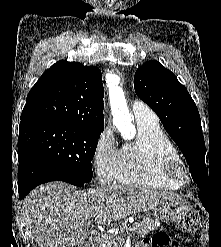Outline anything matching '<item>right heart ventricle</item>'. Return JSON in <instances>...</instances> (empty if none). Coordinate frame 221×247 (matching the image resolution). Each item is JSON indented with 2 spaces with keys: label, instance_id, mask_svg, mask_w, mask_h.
I'll return each mask as SVG.
<instances>
[{
  "label": "right heart ventricle",
  "instance_id": "e07e8e85",
  "mask_svg": "<svg viewBox=\"0 0 221 247\" xmlns=\"http://www.w3.org/2000/svg\"><path fill=\"white\" fill-rule=\"evenodd\" d=\"M135 139L118 151L117 183L127 186H146L179 190L180 182L166 177L161 171L165 157L179 158L176 146L158 123L139 122Z\"/></svg>",
  "mask_w": 221,
  "mask_h": 247
}]
</instances>
